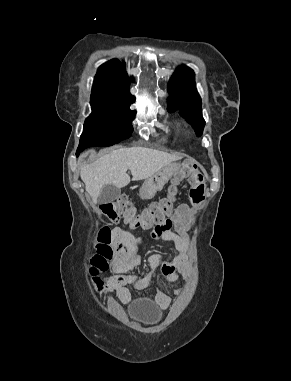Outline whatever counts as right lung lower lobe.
<instances>
[{"label": "right lung lower lobe", "instance_id": "obj_1", "mask_svg": "<svg viewBox=\"0 0 291 381\" xmlns=\"http://www.w3.org/2000/svg\"><path fill=\"white\" fill-rule=\"evenodd\" d=\"M83 150L81 148H78L77 149V152H76V155L78 156L80 152H82Z\"/></svg>", "mask_w": 291, "mask_h": 381}]
</instances>
